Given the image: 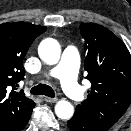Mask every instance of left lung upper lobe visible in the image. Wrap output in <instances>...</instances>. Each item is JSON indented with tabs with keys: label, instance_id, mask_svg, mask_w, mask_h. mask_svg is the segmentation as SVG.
<instances>
[{
	"label": "left lung upper lobe",
	"instance_id": "obj_1",
	"mask_svg": "<svg viewBox=\"0 0 131 131\" xmlns=\"http://www.w3.org/2000/svg\"><path fill=\"white\" fill-rule=\"evenodd\" d=\"M80 30L87 51L86 79L92 88L75 112L107 131L131 102V55L125 44L101 25L82 23Z\"/></svg>",
	"mask_w": 131,
	"mask_h": 131
}]
</instances>
